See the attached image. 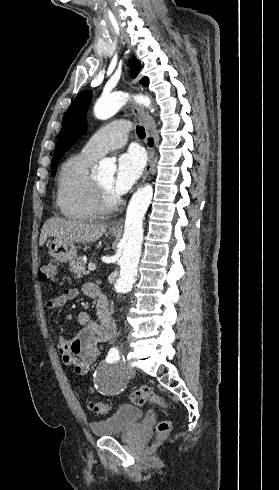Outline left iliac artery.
Returning <instances> with one entry per match:
<instances>
[{"label":"left iliac artery","instance_id":"left-iliac-artery-1","mask_svg":"<svg viewBox=\"0 0 279 490\" xmlns=\"http://www.w3.org/2000/svg\"><path fill=\"white\" fill-rule=\"evenodd\" d=\"M119 351L117 348H111L109 353H108V357L106 358L108 362H116L117 360H119Z\"/></svg>","mask_w":279,"mask_h":490}]
</instances>
